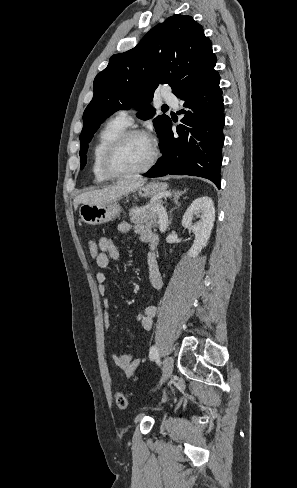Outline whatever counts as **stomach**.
<instances>
[{"mask_svg": "<svg viewBox=\"0 0 297 488\" xmlns=\"http://www.w3.org/2000/svg\"><path fill=\"white\" fill-rule=\"evenodd\" d=\"M168 184L163 182H150L138 189L142 197L157 200L167 191ZM121 212L120 205L115 201L108 204H82L79 215L83 222L89 225L104 224L115 219Z\"/></svg>", "mask_w": 297, "mask_h": 488, "instance_id": "1", "label": "stomach"}]
</instances>
